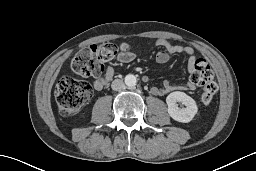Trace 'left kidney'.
Here are the masks:
<instances>
[{
    "label": "left kidney",
    "instance_id": "obj_1",
    "mask_svg": "<svg viewBox=\"0 0 256 171\" xmlns=\"http://www.w3.org/2000/svg\"><path fill=\"white\" fill-rule=\"evenodd\" d=\"M178 102L185 105V108H179ZM169 115L176 121L182 123L190 122L196 115L198 108L194 99L184 92L176 91L170 93L166 98Z\"/></svg>",
    "mask_w": 256,
    "mask_h": 171
}]
</instances>
